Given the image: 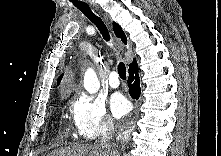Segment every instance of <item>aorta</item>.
I'll list each match as a JSON object with an SVG mask.
<instances>
[{
    "label": "aorta",
    "instance_id": "aorta-1",
    "mask_svg": "<svg viewBox=\"0 0 221 156\" xmlns=\"http://www.w3.org/2000/svg\"><path fill=\"white\" fill-rule=\"evenodd\" d=\"M100 83L93 69H88L84 75V88L89 93H96L99 90Z\"/></svg>",
    "mask_w": 221,
    "mask_h": 156
}]
</instances>
